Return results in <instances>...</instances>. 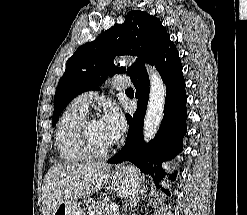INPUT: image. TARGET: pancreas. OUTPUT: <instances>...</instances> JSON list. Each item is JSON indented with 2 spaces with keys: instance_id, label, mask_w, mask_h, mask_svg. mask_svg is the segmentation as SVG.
<instances>
[{
  "instance_id": "pancreas-1",
  "label": "pancreas",
  "mask_w": 247,
  "mask_h": 215,
  "mask_svg": "<svg viewBox=\"0 0 247 215\" xmlns=\"http://www.w3.org/2000/svg\"><path fill=\"white\" fill-rule=\"evenodd\" d=\"M88 215H118V213L111 208L107 202L97 201L93 202L87 208Z\"/></svg>"
}]
</instances>
